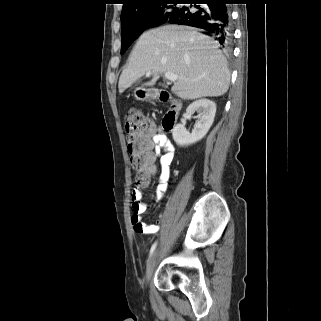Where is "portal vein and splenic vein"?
<instances>
[{"mask_svg":"<svg viewBox=\"0 0 321 321\" xmlns=\"http://www.w3.org/2000/svg\"><path fill=\"white\" fill-rule=\"evenodd\" d=\"M150 75H151V72L146 73V76H150ZM164 75L171 82H175L179 79V77L174 73L166 72Z\"/></svg>","mask_w":321,"mask_h":321,"instance_id":"obj_1","label":"portal vein and splenic vein"}]
</instances>
